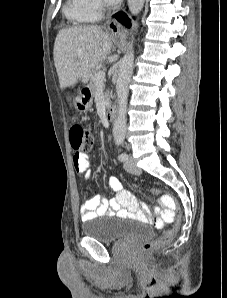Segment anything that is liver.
<instances>
[{
  "label": "liver",
  "mask_w": 227,
  "mask_h": 298,
  "mask_svg": "<svg viewBox=\"0 0 227 298\" xmlns=\"http://www.w3.org/2000/svg\"><path fill=\"white\" fill-rule=\"evenodd\" d=\"M112 48L108 33L99 26L62 29L54 43V63L61 89L78 81L87 83L95 67L106 60Z\"/></svg>",
  "instance_id": "1"
}]
</instances>
